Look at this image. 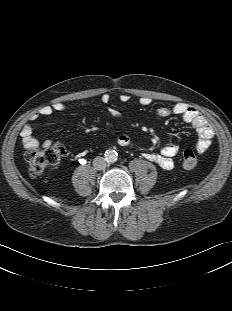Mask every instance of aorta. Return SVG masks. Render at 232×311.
Wrapping results in <instances>:
<instances>
[{"label":"aorta","mask_w":232,"mask_h":311,"mask_svg":"<svg viewBox=\"0 0 232 311\" xmlns=\"http://www.w3.org/2000/svg\"><path fill=\"white\" fill-rule=\"evenodd\" d=\"M118 159V153L115 150H107L105 152V160L108 163H114Z\"/></svg>","instance_id":"1"}]
</instances>
